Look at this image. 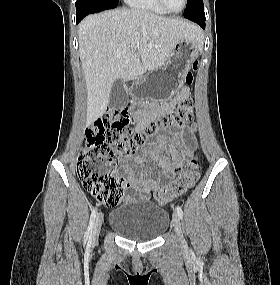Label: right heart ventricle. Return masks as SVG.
I'll return each instance as SVG.
<instances>
[{
  "instance_id": "obj_1",
  "label": "right heart ventricle",
  "mask_w": 280,
  "mask_h": 285,
  "mask_svg": "<svg viewBox=\"0 0 280 285\" xmlns=\"http://www.w3.org/2000/svg\"><path fill=\"white\" fill-rule=\"evenodd\" d=\"M128 5L145 12L155 14H166L167 12L160 6L157 0H126Z\"/></svg>"
}]
</instances>
